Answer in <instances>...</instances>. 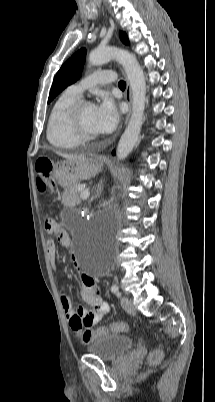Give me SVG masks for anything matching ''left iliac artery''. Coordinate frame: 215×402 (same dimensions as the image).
<instances>
[{
    "label": "left iliac artery",
    "mask_w": 215,
    "mask_h": 402,
    "mask_svg": "<svg viewBox=\"0 0 215 402\" xmlns=\"http://www.w3.org/2000/svg\"><path fill=\"white\" fill-rule=\"evenodd\" d=\"M111 291H112L114 294H116L117 297H120V296H121V293L119 292V288H118L117 285H112V286H111Z\"/></svg>",
    "instance_id": "obj_1"
}]
</instances>
